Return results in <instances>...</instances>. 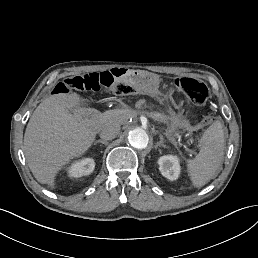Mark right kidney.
Here are the masks:
<instances>
[{
    "label": "right kidney",
    "mask_w": 258,
    "mask_h": 258,
    "mask_svg": "<svg viewBox=\"0 0 258 258\" xmlns=\"http://www.w3.org/2000/svg\"><path fill=\"white\" fill-rule=\"evenodd\" d=\"M95 169V160L92 157H85L73 161L66 169V175L69 178L86 177L93 173Z\"/></svg>",
    "instance_id": "ca27d5eb"
}]
</instances>
